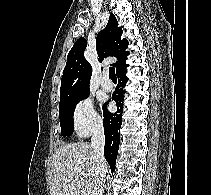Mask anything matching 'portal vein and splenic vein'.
I'll return each mask as SVG.
<instances>
[{
    "mask_svg": "<svg viewBox=\"0 0 211 195\" xmlns=\"http://www.w3.org/2000/svg\"><path fill=\"white\" fill-rule=\"evenodd\" d=\"M81 195H86V191L85 190H81Z\"/></svg>",
    "mask_w": 211,
    "mask_h": 195,
    "instance_id": "18ae733b",
    "label": "portal vein and splenic vein"
}]
</instances>
